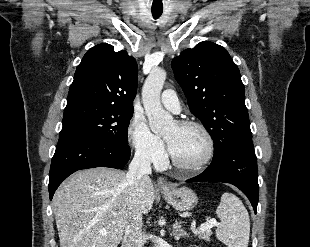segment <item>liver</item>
<instances>
[{"mask_svg": "<svg viewBox=\"0 0 310 247\" xmlns=\"http://www.w3.org/2000/svg\"><path fill=\"white\" fill-rule=\"evenodd\" d=\"M142 183L139 207L148 214L155 191L149 177ZM130 201L125 172L104 167L76 172L53 197L60 247H117L128 223Z\"/></svg>", "mask_w": 310, "mask_h": 247, "instance_id": "liver-1", "label": "liver"}]
</instances>
